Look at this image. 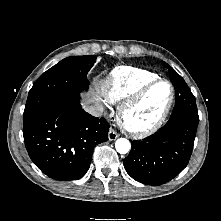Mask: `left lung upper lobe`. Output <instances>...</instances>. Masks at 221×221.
Segmentation results:
<instances>
[{"label": "left lung upper lobe", "instance_id": "1", "mask_svg": "<svg viewBox=\"0 0 221 221\" xmlns=\"http://www.w3.org/2000/svg\"><path fill=\"white\" fill-rule=\"evenodd\" d=\"M163 64L169 70L170 80L173 83V85L174 86H179L180 85L181 87H184V89L188 90L191 93V91L188 88L187 84L185 83L184 79L172 67H170L167 63L163 62ZM193 98H194V103H193V108H192L191 112L190 113L179 114V116L181 118H184V119L188 120V121H191V122H194V123H199L198 111H197L194 95H193ZM171 116L174 117V116H177V115L172 113Z\"/></svg>", "mask_w": 221, "mask_h": 221}]
</instances>
